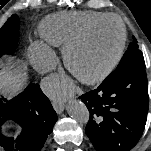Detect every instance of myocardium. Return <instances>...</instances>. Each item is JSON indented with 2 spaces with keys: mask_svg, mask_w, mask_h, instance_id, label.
I'll use <instances>...</instances> for the list:
<instances>
[{
  "mask_svg": "<svg viewBox=\"0 0 151 151\" xmlns=\"http://www.w3.org/2000/svg\"><path fill=\"white\" fill-rule=\"evenodd\" d=\"M106 21H114L117 23V25L120 28V33H121L120 42L116 55L113 58V60L101 71L90 76H82L76 71L73 65L72 55L75 50H77L80 46H82L85 43V41L88 39L90 34L99 25H101ZM126 42H127V29L124 21L117 15L107 14L95 20L91 24H89L77 37H75L73 40H71L64 46L63 57H64L65 65L68 68V70L82 83L88 85L100 83L103 80H105L109 75H111L120 64L125 52Z\"/></svg>",
  "mask_w": 151,
  "mask_h": 151,
  "instance_id": "f54148a6",
  "label": "myocardium"
}]
</instances>
